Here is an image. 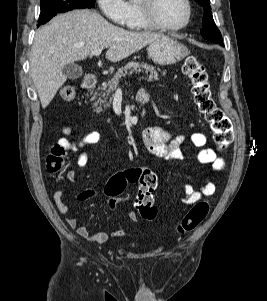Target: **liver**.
Masks as SVG:
<instances>
[{
    "label": "liver",
    "instance_id": "1",
    "mask_svg": "<svg viewBox=\"0 0 267 301\" xmlns=\"http://www.w3.org/2000/svg\"><path fill=\"white\" fill-rule=\"evenodd\" d=\"M160 33L131 32L110 24L92 10L59 14L37 30L31 49L30 73L43 108L67 80L63 67L109 47L106 58L121 61L157 39Z\"/></svg>",
    "mask_w": 267,
    "mask_h": 301
}]
</instances>
